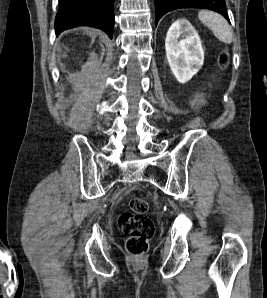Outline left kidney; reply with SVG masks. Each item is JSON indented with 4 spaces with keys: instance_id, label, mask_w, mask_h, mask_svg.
Masks as SVG:
<instances>
[{
    "instance_id": "5707ae66",
    "label": "left kidney",
    "mask_w": 267,
    "mask_h": 298,
    "mask_svg": "<svg viewBox=\"0 0 267 298\" xmlns=\"http://www.w3.org/2000/svg\"><path fill=\"white\" fill-rule=\"evenodd\" d=\"M182 35L183 39H179ZM166 57L178 82L189 81L202 67L204 51L197 31L186 19L175 21L165 40Z\"/></svg>"
}]
</instances>
